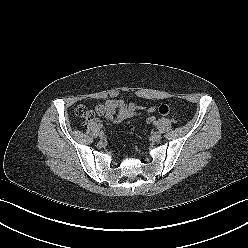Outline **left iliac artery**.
I'll return each mask as SVG.
<instances>
[{
	"mask_svg": "<svg viewBox=\"0 0 248 248\" xmlns=\"http://www.w3.org/2000/svg\"><path fill=\"white\" fill-rule=\"evenodd\" d=\"M153 124H154V125H157V122H156V121H154V122H153Z\"/></svg>",
	"mask_w": 248,
	"mask_h": 248,
	"instance_id": "1",
	"label": "left iliac artery"
}]
</instances>
